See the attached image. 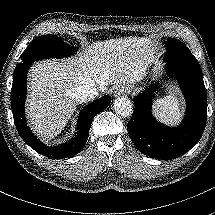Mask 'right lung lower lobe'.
Segmentation results:
<instances>
[{"label":"right lung lower lobe","mask_w":215,"mask_h":215,"mask_svg":"<svg viewBox=\"0 0 215 215\" xmlns=\"http://www.w3.org/2000/svg\"><path fill=\"white\" fill-rule=\"evenodd\" d=\"M30 66L31 63H21L16 66L13 73L11 108L17 131L27 145L45 157L52 159L72 157L85 146L93 118L108 107L111 97L109 95L103 96L82 109L78 117L77 133L73 139L59 146L48 147L41 143L26 125L24 101L26 98V75Z\"/></svg>","instance_id":"98d812e1"}]
</instances>
